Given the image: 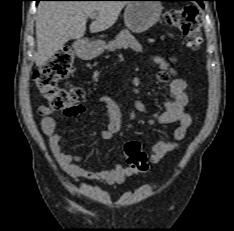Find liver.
Listing matches in <instances>:
<instances>
[{
	"label": "liver",
	"mask_w": 234,
	"mask_h": 231,
	"mask_svg": "<svg viewBox=\"0 0 234 231\" xmlns=\"http://www.w3.org/2000/svg\"><path fill=\"white\" fill-rule=\"evenodd\" d=\"M125 1H43L36 16L37 52L35 63L43 66L70 39H80L91 14L97 18L90 32L104 31L117 21Z\"/></svg>",
	"instance_id": "obj_1"
}]
</instances>
